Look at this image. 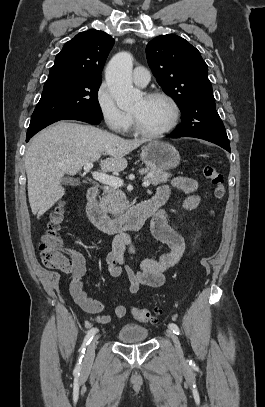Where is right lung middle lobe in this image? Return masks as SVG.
<instances>
[{"instance_id": "obj_1", "label": "right lung middle lobe", "mask_w": 265, "mask_h": 407, "mask_svg": "<svg viewBox=\"0 0 265 407\" xmlns=\"http://www.w3.org/2000/svg\"><path fill=\"white\" fill-rule=\"evenodd\" d=\"M101 80H91L68 74L48 77L41 99L30 121L27 135H34L46 126L75 116L102 119L98 103Z\"/></svg>"}]
</instances>
